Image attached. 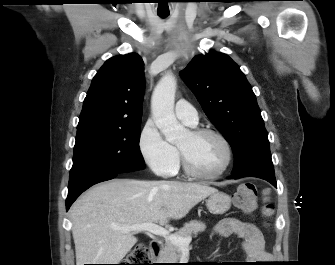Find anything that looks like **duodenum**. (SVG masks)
<instances>
[{
    "instance_id": "obj_1",
    "label": "duodenum",
    "mask_w": 335,
    "mask_h": 265,
    "mask_svg": "<svg viewBox=\"0 0 335 265\" xmlns=\"http://www.w3.org/2000/svg\"><path fill=\"white\" fill-rule=\"evenodd\" d=\"M163 248V243L161 240H153L150 244V253L153 261H157Z\"/></svg>"
}]
</instances>
